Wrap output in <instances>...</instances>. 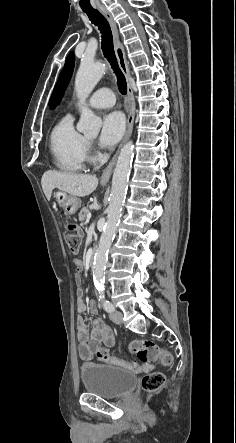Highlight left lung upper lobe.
Instances as JSON below:
<instances>
[{"instance_id":"left-lung-upper-lobe-1","label":"left lung upper lobe","mask_w":236,"mask_h":443,"mask_svg":"<svg viewBox=\"0 0 236 443\" xmlns=\"http://www.w3.org/2000/svg\"><path fill=\"white\" fill-rule=\"evenodd\" d=\"M74 61H75L74 53L70 52L69 55L67 56L64 68L58 78L52 96L50 98L49 107L51 109H54L57 106V104L60 102L64 94V91L73 73Z\"/></svg>"}]
</instances>
